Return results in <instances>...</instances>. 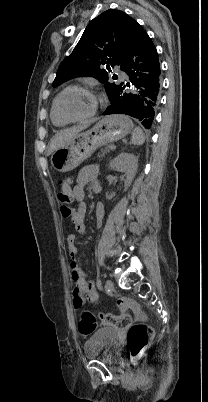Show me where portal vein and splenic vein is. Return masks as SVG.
<instances>
[{
	"mask_svg": "<svg viewBox=\"0 0 208 402\" xmlns=\"http://www.w3.org/2000/svg\"><path fill=\"white\" fill-rule=\"evenodd\" d=\"M111 150H115V146H112Z\"/></svg>",
	"mask_w": 208,
	"mask_h": 402,
	"instance_id": "portal-vein-and-splenic-vein-1",
	"label": "portal vein and splenic vein"
}]
</instances>
